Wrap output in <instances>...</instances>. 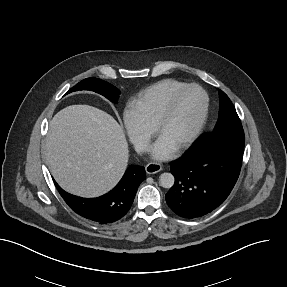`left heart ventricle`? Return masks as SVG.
I'll use <instances>...</instances> for the list:
<instances>
[{
  "label": "left heart ventricle",
  "instance_id": "obj_1",
  "mask_svg": "<svg viewBox=\"0 0 287 287\" xmlns=\"http://www.w3.org/2000/svg\"><path fill=\"white\" fill-rule=\"evenodd\" d=\"M202 104L203 96L198 90L183 93L175 102L173 112L158 139L172 148L182 143L197 124Z\"/></svg>",
  "mask_w": 287,
  "mask_h": 287
}]
</instances>
